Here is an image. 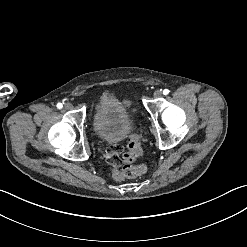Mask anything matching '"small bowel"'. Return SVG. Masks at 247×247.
<instances>
[{
  "instance_id": "c3829d8e",
  "label": "small bowel",
  "mask_w": 247,
  "mask_h": 247,
  "mask_svg": "<svg viewBox=\"0 0 247 247\" xmlns=\"http://www.w3.org/2000/svg\"><path fill=\"white\" fill-rule=\"evenodd\" d=\"M122 154V149L119 146H113L108 150V155L111 157L109 159V164L112 167H117L120 164V159L118 158Z\"/></svg>"
}]
</instances>
